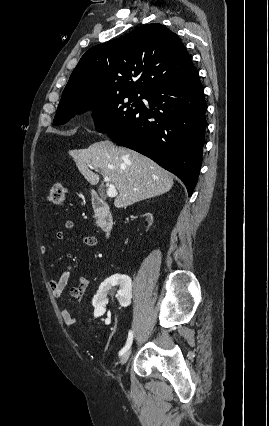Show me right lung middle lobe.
Returning a JSON list of instances; mask_svg holds the SVG:
<instances>
[{
    "label": "right lung middle lobe",
    "mask_w": 269,
    "mask_h": 426,
    "mask_svg": "<svg viewBox=\"0 0 269 426\" xmlns=\"http://www.w3.org/2000/svg\"><path fill=\"white\" fill-rule=\"evenodd\" d=\"M138 94L140 97L138 98ZM145 93L121 92L90 97L61 98L53 125L65 124L76 114L93 110L96 130L107 133L119 127L143 106Z\"/></svg>",
    "instance_id": "dd1d6c3e"
}]
</instances>
